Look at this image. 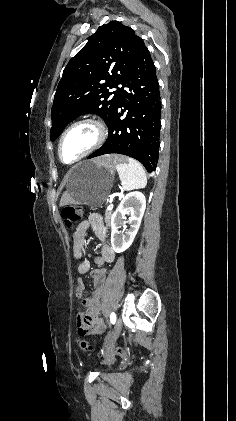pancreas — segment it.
Wrapping results in <instances>:
<instances>
[{
  "label": "pancreas",
  "instance_id": "1",
  "mask_svg": "<svg viewBox=\"0 0 236 421\" xmlns=\"http://www.w3.org/2000/svg\"><path fill=\"white\" fill-rule=\"evenodd\" d=\"M112 211H106L105 213V223H110Z\"/></svg>",
  "mask_w": 236,
  "mask_h": 421
}]
</instances>
